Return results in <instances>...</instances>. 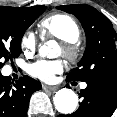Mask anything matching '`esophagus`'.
I'll return each mask as SVG.
<instances>
[{
  "label": "esophagus",
  "mask_w": 117,
  "mask_h": 117,
  "mask_svg": "<svg viewBox=\"0 0 117 117\" xmlns=\"http://www.w3.org/2000/svg\"><path fill=\"white\" fill-rule=\"evenodd\" d=\"M42 88L44 89V90H50V91H55V90H57V86H49V85H45V84H43L42 85Z\"/></svg>",
  "instance_id": "1"
}]
</instances>
